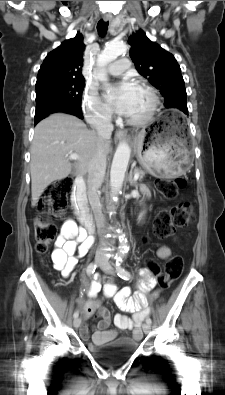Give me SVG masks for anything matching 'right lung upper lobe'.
Here are the masks:
<instances>
[{
	"label": "right lung upper lobe",
	"mask_w": 225,
	"mask_h": 395,
	"mask_svg": "<svg viewBox=\"0 0 225 395\" xmlns=\"http://www.w3.org/2000/svg\"><path fill=\"white\" fill-rule=\"evenodd\" d=\"M83 37L78 32L64 41L45 58L37 75L36 85L51 81L85 80L83 67Z\"/></svg>",
	"instance_id": "right-lung-upper-lobe-1"
}]
</instances>
